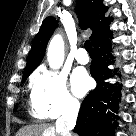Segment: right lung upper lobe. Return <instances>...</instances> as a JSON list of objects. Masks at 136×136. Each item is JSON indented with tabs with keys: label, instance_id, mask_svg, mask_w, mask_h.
I'll return each mask as SVG.
<instances>
[{
	"label": "right lung upper lobe",
	"instance_id": "cb5924a9",
	"mask_svg": "<svg viewBox=\"0 0 136 136\" xmlns=\"http://www.w3.org/2000/svg\"><path fill=\"white\" fill-rule=\"evenodd\" d=\"M77 9L81 15L80 27L82 29L89 27L93 31L90 36L93 46L101 40L112 36V32L108 29L112 18L105 17L108 8L102 4V0H78ZM56 26L57 21L54 17H47L43 21L29 52L23 77L29 76L42 61L46 45Z\"/></svg>",
	"mask_w": 136,
	"mask_h": 136
}]
</instances>
